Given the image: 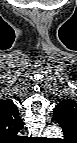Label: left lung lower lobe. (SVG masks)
Masks as SVG:
<instances>
[{
    "label": "left lung lower lobe",
    "mask_w": 77,
    "mask_h": 143,
    "mask_svg": "<svg viewBox=\"0 0 77 143\" xmlns=\"http://www.w3.org/2000/svg\"><path fill=\"white\" fill-rule=\"evenodd\" d=\"M69 109L70 107L66 104L57 105L52 120L58 122L60 125L70 123L71 113L69 112Z\"/></svg>",
    "instance_id": "obj_1"
}]
</instances>
